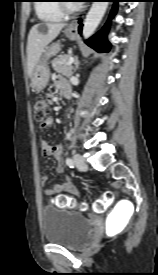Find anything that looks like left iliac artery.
Masks as SVG:
<instances>
[{
	"label": "left iliac artery",
	"instance_id": "1",
	"mask_svg": "<svg viewBox=\"0 0 158 275\" xmlns=\"http://www.w3.org/2000/svg\"><path fill=\"white\" fill-rule=\"evenodd\" d=\"M66 164H67L70 168H74L73 160H72L71 158H67V159H66Z\"/></svg>",
	"mask_w": 158,
	"mask_h": 275
}]
</instances>
